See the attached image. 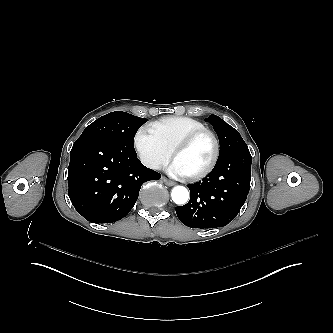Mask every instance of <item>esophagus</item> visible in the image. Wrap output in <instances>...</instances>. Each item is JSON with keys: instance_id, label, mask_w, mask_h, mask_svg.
Here are the masks:
<instances>
[{"instance_id": "esophagus-1", "label": "esophagus", "mask_w": 333, "mask_h": 333, "mask_svg": "<svg viewBox=\"0 0 333 333\" xmlns=\"http://www.w3.org/2000/svg\"><path fill=\"white\" fill-rule=\"evenodd\" d=\"M162 181L167 185V186H174L175 185V182L174 181H171L169 180L167 177L165 176H162Z\"/></svg>"}]
</instances>
